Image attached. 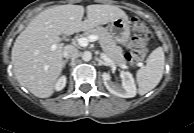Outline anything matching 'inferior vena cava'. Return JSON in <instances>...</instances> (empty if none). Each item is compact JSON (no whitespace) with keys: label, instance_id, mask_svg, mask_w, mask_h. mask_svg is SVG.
<instances>
[{"label":"inferior vena cava","instance_id":"1","mask_svg":"<svg viewBox=\"0 0 194 133\" xmlns=\"http://www.w3.org/2000/svg\"><path fill=\"white\" fill-rule=\"evenodd\" d=\"M80 56V53L77 48H75L72 45H67L64 48L63 51V57L66 59H76L77 57Z\"/></svg>","mask_w":194,"mask_h":133}]
</instances>
